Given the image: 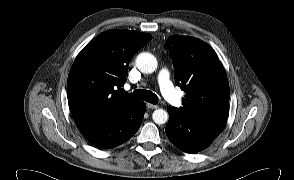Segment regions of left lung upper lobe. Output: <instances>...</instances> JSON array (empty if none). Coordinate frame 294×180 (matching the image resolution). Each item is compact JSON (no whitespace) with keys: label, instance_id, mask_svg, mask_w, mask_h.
Masks as SVG:
<instances>
[{"label":"left lung upper lobe","instance_id":"obj_1","mask_svg":"<svg viewBox=\"0 0 294 180\" xmlns=\"http://www.w3.org/2000/svg\"><path fill=\"white\" fill-rule=\"evenodd\" d=\"M165 48L177 85L186 93L178 110L191 117L227 119L229 83L216 52L197 38L181 35L170 36Z\"/></svg>","mask_w":294,"mask_h":180}]
</instances>
